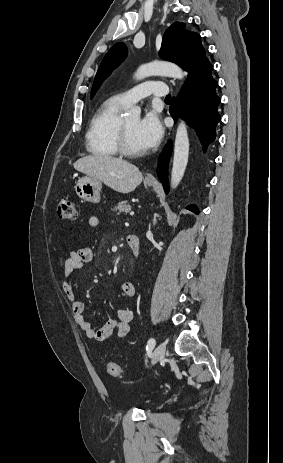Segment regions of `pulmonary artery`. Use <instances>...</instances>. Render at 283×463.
<instances>
[{"label": "pulmonary artery", "mask_w": 283, "mask_h": 463, "mask_svg": "<svg viewBox=\"0 0 283 463\" xmlns=\"http://www.w3.org/2000/svg\"><path fill=\"white\" fill-rule=\"evenodd\" d=\"M150 95L165 97L168 95V87L161 81H149L140 84L118 95L125 105H131Z\"/></svg>", "instance_id": "e3ab8cb5"}]
</instances>
